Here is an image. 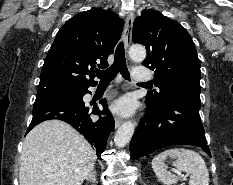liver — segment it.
<instances>
[{
  "instance_id": "6515ba94",
  "label": "liver",
  "mask_w": 233,
  "mask_h": 185,
  "mask_svg": "<svg viewBox=\"0 0 233 185\" xmlns=\"http://www.w3.org/2000/svg\"><path fill=\"white\" fill-rule=\"evenodd\" d=\"M96 158L89 142L69 124L44 121L24 139L19 185H82Z\"/></svg>"
}]
</instances>
